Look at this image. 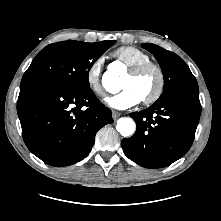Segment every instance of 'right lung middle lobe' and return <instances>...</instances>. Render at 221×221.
<instances>
[{
	"mask_svg": "<svg viewBox=\"0 0 221 221\" xmlns=\"http://www.w3.org/2000/svg\"><path fill=\"white\" fill-rule=\"evenodd\" d=\"M116 41H62L46 46L24 73V79H49L75 87H90L88 75L95 61Z\"/></svg>",
	"mask_w": 221,
	"mask_h": 221,
	"instance_id": "1",
	"label": "right lung middle lobe"
}]
</instances>
